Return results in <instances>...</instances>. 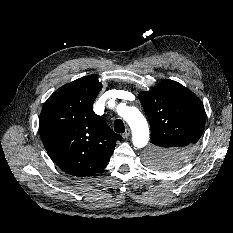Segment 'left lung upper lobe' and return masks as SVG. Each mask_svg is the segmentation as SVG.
I'll return each instance as SVG.
<instances>
[{
  "label": "left lung upper lobe",
  "mask_w": 233,
  "mask_h": 233,
  "mask_svg": "<svg viewBox=\"0 0 233 233\" xmlns=\"http://www.w3.org/2000/svg\"><path fill=\"white\" fill-rule=\"evenodd\" d=\"M140 102L148 116L151 143L147 164L162 171L182 167L194 154L205 127V110L200 99L180 83L165 79L152 90L141 92ZM178 138L183 144L168 150L159 139Z\"/></svg>",
  "instance_id": "left-lung-upper-lobe-1"
}]
</instances>
